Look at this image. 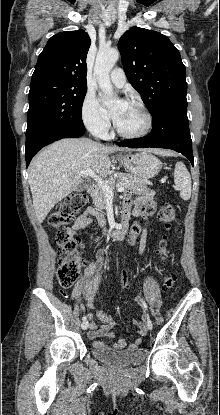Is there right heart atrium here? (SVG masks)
Here are the masks:
<instances>
[{
	"instance_id": "1",
	"label": "right heart atrium",
	"mask_w": 220,
	"mask_h": 415,
	"mask_svg": "<svg viewBox=\"0 0 220 415\" xmlns=\"http://www.w3.org/2000/svg\"><path fill=\"white\" fill-rule=\"evenodd\" d=\"M81 118L84 126L92 134L104 137L108 134L110 124L95 95L87 91L81 106Z\"/></svg>"
}]
</instances>
